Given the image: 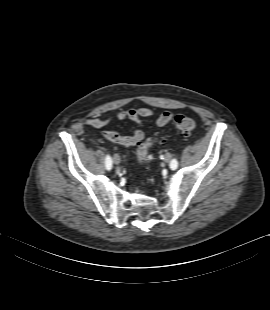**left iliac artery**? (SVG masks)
Listing matches in <instances>:
<instances>
[{"mask_svg":"<svg viewBox=\"0 0 270 310\" xmlns=\"http://www.w3.org/2000/svg\"><path fill=\"white\" fill-rule=\"evenodd\" d=\"M177 166H178L177 160H176V159H173V160L171 161V163H170L171 169H172V170H175V169L177 168Z\"/></svg>","mask_w":270,"mask_h":310,"instance_id":"1","label":"left iliac artery"}]
</instances>
